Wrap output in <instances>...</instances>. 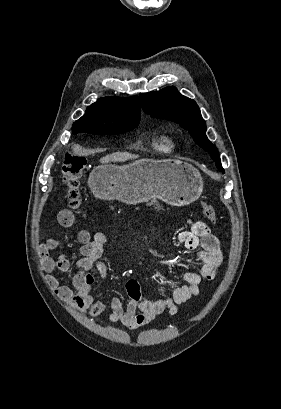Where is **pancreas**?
<instances>
[{"label":"pancreas","instance_id":"pancreas-1","mask_svg":"<svg viewBox=\"0 0 281 409\" xmlns=\"http://www.w3.org/2000/svg\"><path fill=\"white\" fill-rule=\"evenodd\" d=\"M154 202H158V200H154Z\"/></svg>","mask_w":281,"mask_h":409}]
</instances>
